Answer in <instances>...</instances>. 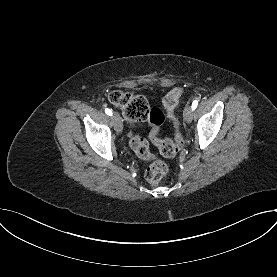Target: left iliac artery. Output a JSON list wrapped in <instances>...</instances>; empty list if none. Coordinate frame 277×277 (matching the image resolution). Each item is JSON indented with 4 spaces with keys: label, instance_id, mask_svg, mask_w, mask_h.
I'll return each instance as SVG.
<instances>
[{
    "label": "left iliac artery",
    "instance_id": "left-iliac-artery-1",
    "mask_svg": "<svg viewBox=\"0 0 277 277\" xmlns=\"http://www.w3.org/2000/svg\"><path fill=\"white\" fill-rule=\"evenodd\" d=\"M197 105H198V101H197V100H194V101L192 102V109L195 110L196 107H197Z\"/></svg>",
    "mask_w": 277,
    "mask_h": 277
}]
</instances>
